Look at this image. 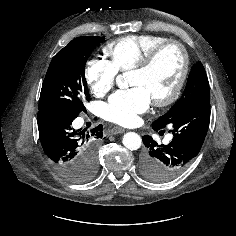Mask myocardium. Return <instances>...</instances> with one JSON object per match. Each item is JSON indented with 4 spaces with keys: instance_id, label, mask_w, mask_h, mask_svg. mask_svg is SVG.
I'll return each instance as SVG.
<instances>
[{
    "instance_id": "f54148a6",
    "label": "myocardium",
    "mask_w": 236,
    "mask_h": 236,
    "mask_svg": "<svg viewBox=\"0 0 236 236\" xmlns=\"http://www.w3.org/2000/svg\"><path fill=\"white\" fill-rule=\"evenodd\" d=\"M170 46H176L181 54H182V68L180 71V74L178 76V79L173 87V89L171 90V92L160 99H153V103L155 106L157 107H166L171 105L172 103H174L176 101V99L178 98L179 94L181 93L185 82L187 80L188 74H189V67H190V61H189V54L187 49L185 48V46L179 42L178 40H174V39H169L165 42H162L158 45H156L155 47H153L146 55L145 57L132 68V71L134 72H143L148 70L154 63V61L156 60V58L158 57V55L165 50L166 48L170 47Z\"/></svg>"
}]
</instances>
